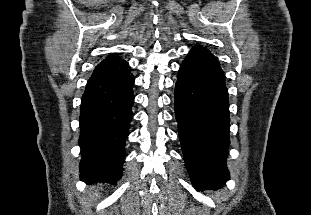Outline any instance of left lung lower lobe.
Here are the masks:
<instances>
[{"mask_svg":"<svg viewBox=\"0 0 311 215\" xmlns=\"http://www.w3.org/2000/svg\"><path fill=\"white\" fill-rule=\"evenodd\" d=\"M175 115L184 159L198 191L221 188L229 140V101L224 73L209 50L194 46L181 64Z\"/></svg>","mask_w":311,"mask_h":215,"instance_id":"obj_1","label":"left lung lower lobe"}]
</instances>
